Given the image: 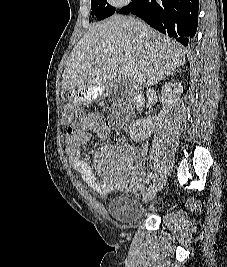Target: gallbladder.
I'll list each match as a JSON object with an SVG mask.
<instances>
[{
	"label": "gallbladder",
	"instance_id": "obj_1",
	"mask_svg": "<svg viewBox=\"0 0 227 267\" xmlns=\"http://www.w3.org/2000/svg\"><path fill=\"white\" fill-rule=\"evenodd\" d=\"M113 89V86L111 85L110 87H109V90H112Z\"/></svg>",
	"mask_w": 227,
	"mask_h": 267
}]
</instances>
